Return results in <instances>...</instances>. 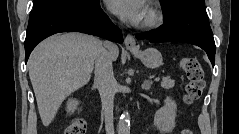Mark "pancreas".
<instances>
[{
	"label": "pancreas",
	"mask_w": 239,
	"mask_h": 134,
	"mask_svg": "<svg viewBox=\"0 0 239 134\" xmlns=\"http://www.w3.org/2000/svg\"><path fill=\"white\" fill-rule=\"evenodd\" d=\"M174 86H175L174 80H171L169 78H163V80L161 81V87L166 89V90H170Z\"/></svg>",
	"instance_id": "obj_1"
}]
</instances>
